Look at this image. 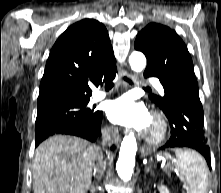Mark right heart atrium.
I'll return each instance as SVG.
<instances>
[{"label":"right heart atrium","mask_w":221,"mask_h":193,"mask_svg":"<svg viewBox=\"0 0 221 193\" xmlns=\"http://www.w3.org/2000/svg\"><path fill=\"white\" fill-rule=\"evenodd\" d=\"M104 134L107 135V136H112L115 134V130L113 129V127L111 126H107L104 128L103 130Z\"/></svg>","instance_id":"d8ad5b80"}]
</instances>
